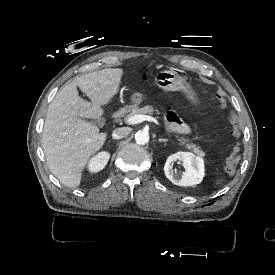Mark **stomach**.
Returning <instances> with one entry per match:
<instances>
[{"instance_id":"1","label":"stomach","mask_w":275,"mask_h":275,"mask_svg":"<svg viewBox=\"0 0 275 275\" xmlns=\"http://www.w3.org/2000/svg\"><path fill=\"white\" fill-rule=\"evenodd\" d=\"M154 84L166 92H181L189 104L200 106L201 96L194 90L184 75L172 69L161 70L154 76ZM145 93L134 91L130 96L129 105H125L123 110L137 109L144 102Z\"/></svg>"}]
</instances>
